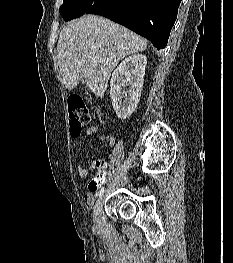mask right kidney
Masks as SVG:
<instances>
[{
    "label": "right kidney",
    "instance_id": "ca27d5eb",
    "mask_svg": "<svg viewBox=\"0 0 233 263\" xmlns=\"http://www.w3.org/2000/svg\"><path fill=\"white\" fill-rule=\"evenodd\" d=\"M146 64L145 55L134 54L125 58L112 74L110 97L113 109L120 119L128 118L138 105Z\"/></svg>",
    "mask_w": 233,
    "mask_h": 263
}]
</instances>
